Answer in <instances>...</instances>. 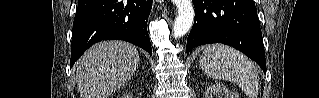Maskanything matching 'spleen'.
Masks as SVG:
<instances>
[{
	"instance_id": "3e777b00",
	"label": "spleen",
	"mask_w": 319,
	"mask_h": 98,
	"mask_svg": "<svg viewBox=\"0 0 319 98\" xmlns=\"http://www.w3.org/2000/svg\"><path fill=\"white\" fill-rule=\"evenodd\" d=\"M199 61L209 77L235 82L249 98L257 97L258 69L239 51L222 44L206 46Z\"/></svg>"
}]
</instances>
